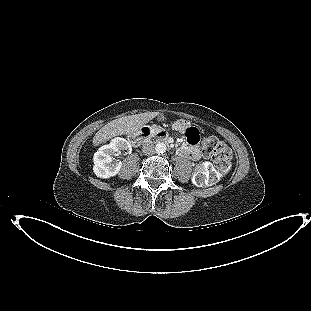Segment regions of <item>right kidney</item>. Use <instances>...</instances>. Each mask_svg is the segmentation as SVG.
<instances>
[{
    "mask_svg": "<svg viewBox=\"0 0 311 311\" xmlns=\"http://www.w3.org/2000/svg\"><path fill=\"white\" fill-rule=\"evenodd\" d=\"M121 150L132 151L131 144L124 138H114L110 144L104 145L94 154L93 172L99 178H110L117 175L122 167L121 162H113L112 157Z\"/></svg>",
    "mask_w": 311,
    "mask_h": 311,
    "instance_id": "ca27d5eb",
    "label": "right kidney"
}]
</instances>
